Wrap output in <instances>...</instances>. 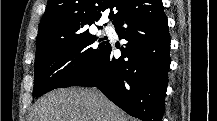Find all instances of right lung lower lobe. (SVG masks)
I'll return each instance as SVG.
<instances>
[{
    "instance_id": "right-lung-lower-lobe-1",
    "label": "right lung lower lobe",
    "mask_w": 217,
    "mask_h": 121,
    "mask_svg": "<svg viewBox=\"0 0 217 121\" xmlns=\"http://www.w3.org/2000/svg\"><path fill=\"white\" fill-rule=\"evenodd\" d=\"M114 25L119 38L128 41L121 48L122 57L115 59L108 44L99 61L74 85L96 86L129 115L161 121L170 66L162 1L142 0Z\"/></svg>"
}]
</instances>
